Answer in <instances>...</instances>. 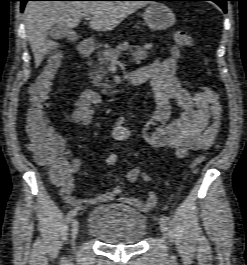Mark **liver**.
Masks as SVG:
<instances>
[{
  "label": "liver",
  "mask_w": 247,
  "mask_h": 265,
  "mask_svg": "<svg viewBox=\"0 0 247 265\" xmlns=\"http://www.w3.org/2000/svg\"><path fill=\"white\" fill-rule=\"evenodd\" d=\"M146 4L142 1H29L23 20L35 66L38 67L44 56L58 47V43L47 38L52 26L75 28L83 17L92 15L90 28L111 31Z\"/></svg>",
  "instance_id": "6515ba94"
}]
</instances>
